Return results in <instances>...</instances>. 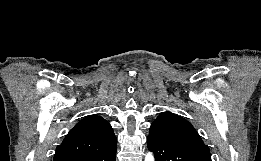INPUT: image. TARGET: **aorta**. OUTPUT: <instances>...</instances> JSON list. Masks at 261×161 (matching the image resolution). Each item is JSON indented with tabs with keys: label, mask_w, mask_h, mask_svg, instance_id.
Listing matches in <instances>:
<instances>
[{
	"label": "aorta",
	"mask_w": 261,
	"mask_h": 161,
	"mask_svg": "<svg viewBox=\"0 0 261 161\" xmlns=\"http://www.w3.org/2000/svg\"><path fill=\"white\" fill-rule=\"evenodd\" d=\"M145 161H154V156L152 153H147L145 156Z\"/></svg>",
	"instance_id": "1"
}]
</instances>
